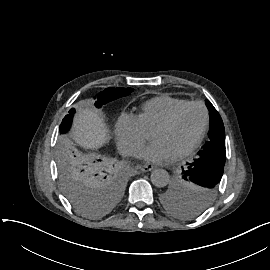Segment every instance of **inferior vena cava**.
Here are the masks:
<instances>
[{"mask_svg":"<svg viewBox=\"0 0 270 270\" xmlns=\"http://www.w3.org/2000/svg\"><path fill=\"white\" fill-rule=\"evenodd\" d=\"M117 149L120 155L122 156H130L132 155V151L129 146L125 145L124 143L118 142Z\"/></svg>","mask_w":270,"mask_h":270,"instance_id":"1","label":"inferior vena cava"}]
</instances>
